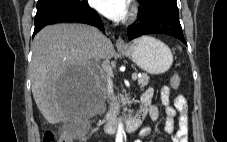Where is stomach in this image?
Here are the masks:
<instances>
[{
	"label": "stomach",
	"instance_id": "stomach-1",
	"mask_svg": "<svg viewBox=\"0 0 227 142\" xmlns=\"http://www.w3.org/2000/svg\"><path fill=\"white\" fill-rule=\"evenodd\" d=\"M119 51L142 70L154 75L165 73L173 63L169 47L151 36L140 37Z\"/></svg>",
	"mask_w": 227,
	"mask_h": 142
}]
</instances>
